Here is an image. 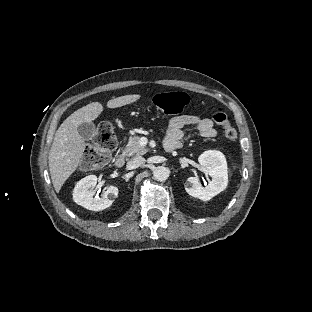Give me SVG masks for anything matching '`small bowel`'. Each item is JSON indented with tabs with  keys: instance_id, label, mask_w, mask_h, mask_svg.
<instances>
[{
	"instance_id": "1",
	"label": "small bowel",
	"mask_w": 312,
	"mask_h": 312,
	"mask_svg": "<svg viewBox=\"0 0 312 312\" xmlns=\"http://www.w3.org/2000/svg\"><path fill=\"white\" fill-rule=\"evenodd\" d=\"M188 126L195 127L199 134L205 138H213L217 134L215 124L210 118L195 114H182L169 120L164 145H175L177 149L181 148L184 137L183 128Z\"/></svg>"
}]
</instances>
